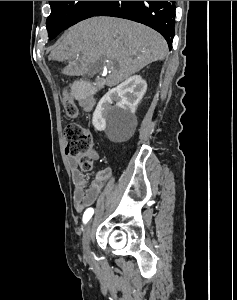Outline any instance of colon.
Masks as SVG:
<instances>
[{
	"label": "colon",
	"instance_id": "colon-1",
	"mask_svg": "<svg viewBox=\"0 0 237 300\" xmlns=\"http://www.w3.org/2000/svg\"><path fill=\"white\" fill-rule=\"evenodd\" d=\"M62 103L69 117L77 116L76 104L67 89L63 90ZM64 143L66 154L77 159L82 171L90 172L93 169V159L88 154L92 148L90 131L77 123H70L64 130Z\"/></svg>",
	"mask_w": 237,
	"mask_h": 300
}]
</instances>
